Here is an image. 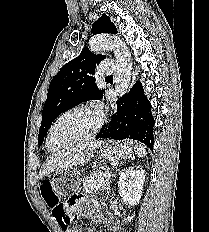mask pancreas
Masks as SVG:
<instances>
[{
    "instance_id": "1",
    "label": "pancreas",
    "mask_w": 209,
    "mask_h": 232,
    "mask_svg": "<svg viewBox=\"0 0 209 232\" xmlns=\"http://www.w3.org/2000/svg\"><path fill=\"white\" fill-rule=\"evenodd\" d=\"M109 169L100 168L95 171L91 176L85 178L83 180L84 189L87 193H93L96 190L103 188L107 189L110 185L109 176L105 173L108 172Z\"/></svg>"
}]
</instances>
